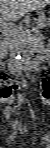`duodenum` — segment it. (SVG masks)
<instances>
[{"mask_svg": "<svg viewBox=\"0 0 50 148\" xmlns=\"http://www.w3.org/2000/svg\"><path fill=\"white\" fill-rule=\"evenodd\" d=\"M33 60H34V57H31L30 59H28L27 62H28L29 64H32V63H33Z\"/></svg>", "mask_w": 50, "mask_h": 148, "instance_id": "duodenum-1", "label": "duodenum"}]
</instances>
